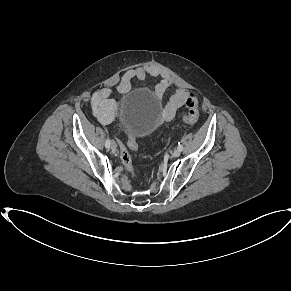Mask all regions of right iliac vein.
I'll return each mask as SVG.
<instances>
[{
	"instance_id": "obj_1",
	"label": "right iliac vein",
	"mask_w": 291,
	"mask_h": 291,
	"mask_svg": "<svg viewBox=\"0 0 291 291\" xmlns=\"http://www.w3.org/2000/svg\"><path fill=\"white\" fill-rule=\"evenodd\" d=\"M116 148H117V145H116V143L113 141V142L111 143V149H112V150H116Z\"/></svg>"
}]
</instances>
